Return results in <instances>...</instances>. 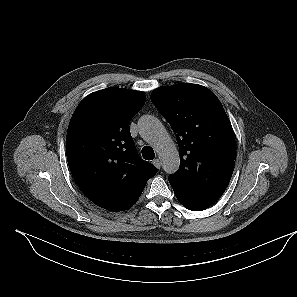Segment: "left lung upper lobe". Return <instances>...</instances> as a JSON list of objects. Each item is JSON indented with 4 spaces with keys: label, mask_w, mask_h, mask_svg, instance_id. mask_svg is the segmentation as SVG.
Listing matches in <instances>:
<instances>
[{
    "label": "left lung upper lobe",
    "mask_w": 297,
    "mask_h": 297,
    "mask_svg": "<svg viewBox=\"0 0 297 297\" xmlns=\"http://www.w3.org/2000/svg\"><path fill=\"white\" fill-rule=\"evenodd\" d=\"M150 98L176 134L180 167L169 177L176 198L189 210L207 209L226 190L235 164L234 133L221 102L188 83L160 87Z\"/></svg>",
    "instance_id": "obj_1"
}]
</instances>
